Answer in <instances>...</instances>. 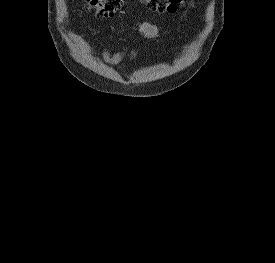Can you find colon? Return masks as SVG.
<instances>
[{"instance_id": "1", "label": "colon", "mask_w": 275, "mask_h": 263, "mask_svg": "<svg viewBox=\"0 0 275 263\" xmlns=\"http://www.w3.org/2000/svg\"><path fill=\"white\" fill-rule=\"evenodd\" d=\"M126 0H84L86 10L100 17H109L117 13ZM146 7L155 12H176L184 0H140Z\"/></svg>"}]
</instances>
